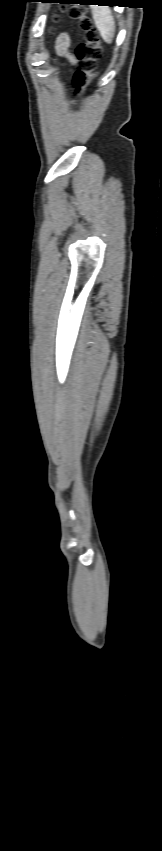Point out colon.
<instances>
[{
    "label": "colon",
    "instance_id": "obj_1",
    "mask_svg": "<svg viewBox=\"0 0 162 851\" xmlns=\"http://www.w3.org/2000/svg\"><path fill=\"white\" fill-rule=\"evenodd\" d=\"M68 14L72 19L78 20L80 29L84 34L83 41L75 49L80 70L74 79L75 95H82L95 78L97 61L102 53L101 40L92 19L82 7L71 6L68 9ZM57 19L58 16H55V20Z\"/></svg>",
    "mask_w": 162,
    "mask_h": 851
}]
</instances>
